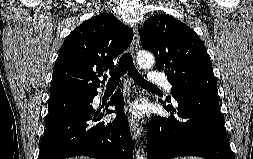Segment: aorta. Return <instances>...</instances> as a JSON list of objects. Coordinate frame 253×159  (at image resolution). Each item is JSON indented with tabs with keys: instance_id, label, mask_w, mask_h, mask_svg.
<instances>
[{
	"instance_id": "1",
	"label": "aorta",
	"mask_w": 253,
	"mask_h": 159,
	"mask_svg": "<svg viewBox=\"0 0 253 159\" xmlns=\"http://www.w3.org/2000/svg\"><path fill=\"white\" fill-rule=\"evenodd\" d=\"M137 62L142 68L149 69L154 65L155 59L150 52L142 51L137 55ZM136 159H145L143 150L141 152L140 150L137 151Z\"/></svg>"
}]
</instances>
